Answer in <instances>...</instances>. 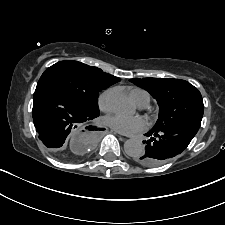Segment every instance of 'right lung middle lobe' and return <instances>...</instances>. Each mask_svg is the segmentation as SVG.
Masks as SVG:
<instances>
[{"mask_svg": "<svg viewBox=\"0 0 225 225\" xmlns=\"http://www.w3.org/2000/svg\"><path fill=\"white\" fill-rule=\"evenodd\" d=\"M38 83L53 85L94 115H99V92L111 85L100 78L91 66L78 61H60L50 66Z\"/></svg>", "mask_w": 225, "mask_h": 225, "instance_id": "obj_1", "label": "right lung middle lobe"}]
</instances>
